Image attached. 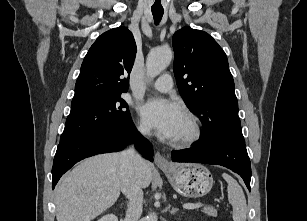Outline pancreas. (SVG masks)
<instances>
[{
    "mask_svg": "<svg viewBox=\"0 0 307 221\" xmlns=\"http://www.w3.org/2000/svg\"><path fill=\"white\" fill-rule=\"evenodd\" d=\"M203 212L208 216L217 217V209L213 207L205 206Z\"/></svg>",
    "mask_w": 307,
    "mask_h": 221,
    "instance_id": "pancreas-1",
    "label": "pancreas"
}]
</instances>
